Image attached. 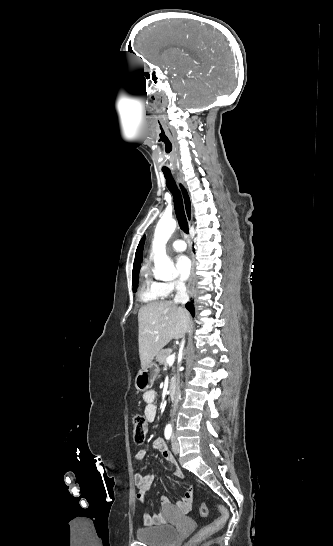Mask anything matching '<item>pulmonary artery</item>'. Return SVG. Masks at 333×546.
<instances>
[{"instance_id": "obj_1", "label": "pulmonary artery", "mask_w": 333, "mask_h": 546, "mask_svg": "<svg viewBox=\"0 0 333 546\" xmlns=\"http://www.w3.org/2000/svg\"><path fill=\"white\" fill-rule=\"evenodd\" d=\"M171 248L176 252H182L186 250V244L183 240H174L171 242Z\"/></svg>"}]
</instances>
